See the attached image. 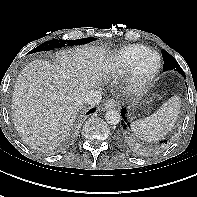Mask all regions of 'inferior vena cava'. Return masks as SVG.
<instances>
[{"label": "inferior vena cava", "mask_w": 197, "mask_h": 197, "mask_svg": "<svg viewBox=\"0 0 197 197\" xmlns=\"http://www.w3.org/2000/svg\"><path fill=\"white\" fill-rule=\"evenodd\" d=\"M102 99V93L99 90H89L85 93L83 101L91 106L97 105Z\"/></svg>", "instance_id": "inferior-vena-cava-1"}]
</instances>
